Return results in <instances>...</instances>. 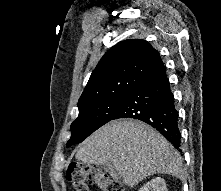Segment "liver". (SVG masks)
Wrapping results in <instances>:
<instances>
[{
    "label": "liver",
    "mask_w": 221,
    "mask_h": 191,
    "mask_svg": "<svg viewBox=\"0 0 221 191\" xmlns=\"http://www.w3.org/2000/svg\"><path fill=\"white\" fill-rule=\"evenodd\" d=\"M76 159L112 164L129 187L154 174L184 176L182 158L174 147L152 127L133 119L114 120L99 128L79 146Z\"/></svg>",
    "instance_id": "1"
}]
</instances>
